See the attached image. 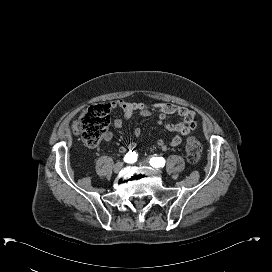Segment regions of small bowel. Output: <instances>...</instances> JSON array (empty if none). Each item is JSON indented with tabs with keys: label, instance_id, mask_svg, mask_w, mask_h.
I'll return each instance as SVG.
<instances>
[{
	"label": "small bowel",
	"instance_id": "obj_1",
	"mask_svg": "<svg viewBox=\"0 0 272 272\" xmlns=\"http://www.w3.org/2000/svg\"><path fill=\"white\" fill-rule=\"evenodd\" d=\"M113 108H118L122 111L125 119L132 117L135 113H140L145 117L150 116L153 112L158 113V123L163 124L167 116L178 115L182 118V121L177 124H164L166 129L175 132V136L170 141L169 145L177 147L181 144L184 136L190 135L196 126V113L184 106H177L169 103H155L153 105H146L142 102H126V101H113L111 103ZM123 124V119L117 118L114 120V127L120 128ZM141 134L140 128L134 129V135L139 137ZM113 138V133L109 130L103 135L105 141H110ZM157 145L165 149L167 144L164 140L159 139ZM138 145L135 142H131L127 145H123L119 148L120 153L128 151H135Z\"/></svg>",
	"mask_w": 272,
	"mask_h": 272
}]
</instances>
